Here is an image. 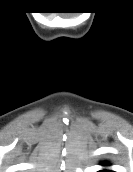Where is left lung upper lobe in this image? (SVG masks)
I'll use <instances>...</instances> for the list:
<instances>
[{"mask_svg":"<svg viewBox=\"0 0 133 172\" xmlns=\"http://www.w3.org/2000/svg\"><path fill=\"white\" fill-rule=\"evenodd\" d=\"M110 168V166H105V167H103L101 170H99V172H104V170H107V169H109ZM109 170H111V169H109Z\"/></svg>","mask_w":133,"mask_h":172,"instance_id":"left-lung-upper-lobe-1","label":"left lung upper lobe"}]
</instances>
